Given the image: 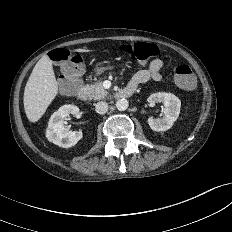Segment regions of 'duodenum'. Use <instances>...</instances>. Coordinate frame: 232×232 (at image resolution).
Here are the masks:
<instances>
[{
	"mask_svg": "<svg viewBox=\"0 0 232 232\" xmlns=\"http://www.w3.org/2000/svg\"><path fill=\"white\" fill-rule=\"evenodd\" d=\"M134 92V89L127 86L123 89H121L120 91H118L115 94V97L120 99V98H128L130 97ZM76 95L80 100H86L87 99V90L85 88V86L81 85L80 87H78L77 91H76Z\"/></svg>",
	"mask_w": 232,
	"mask_h": 232,
	"instance_id": "410a0bca",
	"label": "duodenum"
}]
</instances>
